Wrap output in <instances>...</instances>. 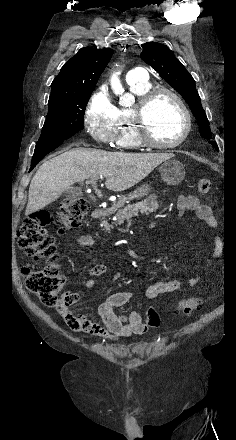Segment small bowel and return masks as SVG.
<instances>
[{"label":"small bowel","instance_id":"small-bowel-1","mask_svg":"<svg viewBox=\"0 0 236 440\" xmlns=\"http://www.w3.org/2000/svg\"><path fill=\"white\" fill-rule=\"evenodd\" d=\"M177 208L181 214L187 210L195 211L197 217L204 221L210 227H215L217 221L213 216L211 209L206 204L200 202V200L194 195L177 197ZM76 242L80 246L93 247L96 245V239L89 234H80L75 238ZM220 253L219 246L216 247L214 254L218 256ZM106 267L102 264H96L91 267L90 275L92 276L85 281V287L87 289H93L97 285L95 277L104 274ZM121 278V273L117 272L113 275V280L117 281ZM201 280V275H196L189 279V286H196ZM182 282L180 280H166L158 281L149 285L146 289V297L148 299H155L161 294L171 293L178 291L182 288ZM67 296L70 306L75 304L80 295L77 292H67ZM132 299V293L127 291L115 292L107 297L98 307L99 320L89 319L85 316L75 315L69 307V313L75 318H82L87 321H69V330H79L93 335H97L105 339H117L123 337H129L131 335H140L147 331V326L142 322V318L139 312L131 311L128 315H117L114 312V308L122 307L126 305Z\"/></svg>","mask_w":236,"mask_h":440}]
</instances>
